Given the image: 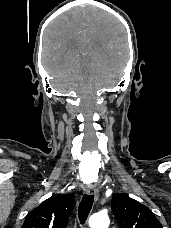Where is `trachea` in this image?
<instances>
[{"label":"trachea","mask_w":171,"mask_h":228,"mask_svg":"<svg viewBox=\"0 0 171 228\" xmlns=\"http://www.w3.org/2000/svg\"><path fill=\"white\" fill-rule=\"evenodd\" d=\"M94 196L84 195L79 207H78V217L81 224H84L93 206Z\"/></svg>","instance_id":"obj_1"}]
</instances>
